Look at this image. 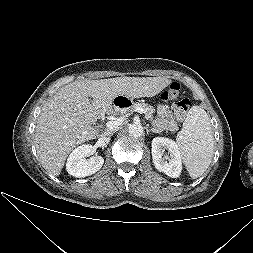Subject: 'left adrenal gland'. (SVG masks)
Listing matches in <instances>:
<instances>
[{
	"mask_svg": "<svg viewBox=\"0 0 253 253\" xmlns=\"http://www.w3.org/2000/svg\"><path fill=\"white\" fill-rule=\"evenodd\" d=\"M149 131H151V132H153V133H160L161 131H159L158 129H156V128H151V129H149L148 130V132Z\"/></svg>",
	"mask_w": 253,
	"mask_h": 253,
	"instance_id": "obj_1",
	"label": "left adrenal gland"
}]
</instances>
